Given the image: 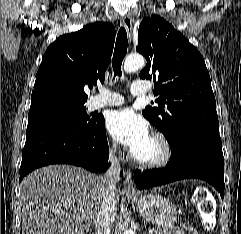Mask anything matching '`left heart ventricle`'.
Instances as JSON below:
<instances>
[{
  "instance_id": "b2bd125f",
  "label": "left heart ventricle",
  "mask_w": 241,
  "mask_h": 234,
  "mask_svg": "<svg viewBox=\"0 0 241 234\" xmlns=\"http://www.w3.org/2000/svg\"><path fill=\"white\" fill-rule=\"evenodd\" d=\"M160 145L151 136L147 143L134 155L142 160H153L160 155Z\"/></svg>"
}]
</instances>
